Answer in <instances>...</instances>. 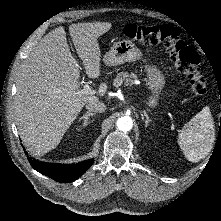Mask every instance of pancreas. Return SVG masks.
Masks as SVG:
<instances>
[{"instance_id": "cf45deb5", "label": "pancreas", "mask_w": 221, "mask_h": 221, "mask_svg": "<svg viewBox=\"0 0 221 221\" xmlns=\"http://www.w3.org/2000/svg\"><path fill=\"white\" fill-rule=\"evenodd\" d=\"M132 79H136V75L131 73H127V72H121L117 75V78L114 79V82H113V85L118 88L122 83L123 81H126L127 83L128 82H132L133 80Z\"/></svg>"}]
</instances>
